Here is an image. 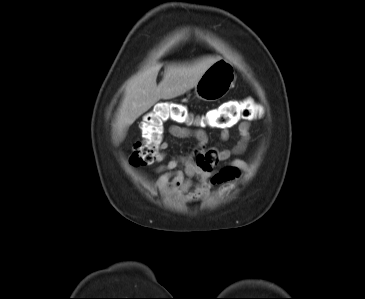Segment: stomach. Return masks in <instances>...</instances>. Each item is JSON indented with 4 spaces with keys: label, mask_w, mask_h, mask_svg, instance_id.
<instances>
[{
    "label": "stomach",
    "mask_w": 365,
    "mask_h": 299,
    "mask_svg": "<svg viewBox=\"0 0 365 299\" xmlns=\"http://www.w3.org/2000/svg\"><path fill=\"white\" fill-rule=\"evenodd\" d=\"M236 75L231 63L218 59L200 77L195 85L197 98L213 102L224 97L233 87Z\"/></svg>",
    "instance_id": "0dacf381"
}]
</instances>
